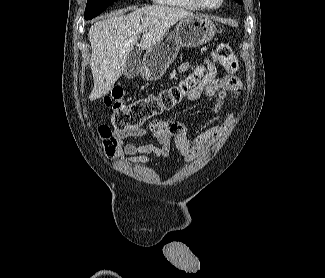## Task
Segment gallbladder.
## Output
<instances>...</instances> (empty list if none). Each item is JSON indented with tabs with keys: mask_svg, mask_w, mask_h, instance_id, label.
<instances>
[{
	"mask_svg": "<svg viewBox=\"0 0 325 278\" xmlns=\"http://www.w3.org/2000/svg\"><path fill=\"white\" fill-rule=\"evenodd\" d=\"M141 49L139 47H133L126 59V66L124 70V76L128 79L134 78L138 75L141 66Z\"/></svg>",
	"mask_w": 325,
	"mask_h": 278,
	"instance_id": "obj_1",
	"label": "gallbladder"
}]
</instances>
